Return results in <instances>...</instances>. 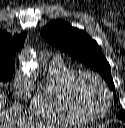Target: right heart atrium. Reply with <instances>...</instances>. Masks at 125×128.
Segmentation results:
<instances>
[{
    "label": "right heart atrium",
    "instance_id": "1",
    "mask_svg": "<svg viewBox=\"0 0 125 128\" xmlns=\"http://www.w3.org/2000/svg\"><path fill=\"white\" fill-rule=\"evenodd\" d=\"M14 92L17 99H26L31 96L33 89L28 76L19 71L14 78Z\"/></svg>",
    "mask_w": 125,
    "mask_h": 128
}]
</instances>
